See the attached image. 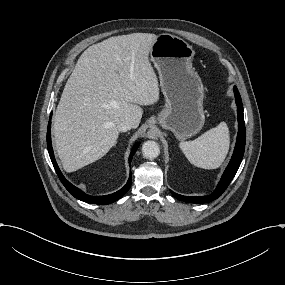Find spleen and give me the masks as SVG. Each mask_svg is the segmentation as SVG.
Listing matches in <instances>:
<instances>
[{"label": "spleen", "instance_id": "3e777b00", "mask_svg": "<svg viewBox=\"0 0 285 285\" xmlns=\"http://www.w3.org/2000/svg\"><path fill=\"white\" fill-rule=\"evenodd\" d=\"M179 147L191 164L205 169L217 168L229 149L227 125L221 122L194 140L180 141Z\"/></svg>", "mask_w": 285, "mask_h": 285}]
</instances>
